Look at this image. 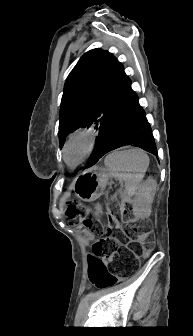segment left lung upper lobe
<instances>
[{
    "mask_svg": "<svg viewBox=\"0 0 193 336\" xmlns=\"http://www.w3.org/2000/svg\"><path fill=\"white\" fill-rule=\"evenodd\" d=\"M125 80L123 66L107 51L94 49L80 58L64 86L58 132L61 147L76 128L100 127Z\"/></svg>",
    "mask_w": 193,
    "mask_h": 336,
    "instance_id": "5c2ea615",
    "label": "left lung upper lobe"
}]
</instances>
